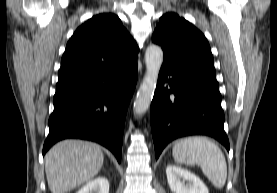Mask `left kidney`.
<instances>
[{"label":"left kidney","instance_id":"obj_1","mask_svg":"<svg viewBox=\"0 0 277 193\" xmlns=\"http://www.w3.org/2000/svg\"><path fill=\"white\" fill-rule=\"evenodd\" d=\"M166 175L174 193H209L202 180L190 171L177 165H168Z\"/></svg>","mask_w":277,"mask_h":193}]
</instances>
